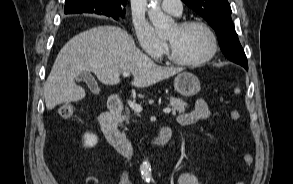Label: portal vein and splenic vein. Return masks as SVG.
I'll use <instances>...</instances> for the list:
<instances>
[{
  "mask_svg": "<svg viewBox=\"0 0 293 184\" xmlns=\"http://www.w3.org/2000/svg\"><path fill=\"white\" fill-rule=\"evenodd\" d=\"M129 72H124L123 73V76L124 77H128L129 76ZM128 105L136 112H141L142 111V107L141 105L135 103V102H132V101H128ZM163 112L166 113V114H169L171 113V109L170 108H165L163 109Z\"/></svg>",
  "mask_w": 293,
  "mask_h": 184,
  "instance_id": "1",
  "label": "portal vein and splenic vein"
}]
</instances>
